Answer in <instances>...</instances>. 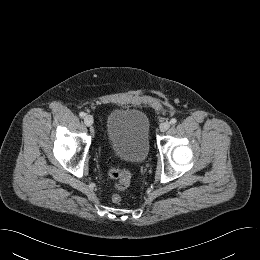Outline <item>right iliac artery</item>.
<instances>
[{"mask_svg":"<svg viewBox=\"0 0 260 260\" xmlns=\"http://www.w3.org/2000/svg\"><path fill=\"white\" fill-rule=\"evenodd\" d=\"M79 116H80V117H84V116H85V113H84V112H80V113H79Z\"/></svg>","mask_w":260,"mask_h":260,"instance_id":"right-iliac-artery-1","label":"right iliac artery"}]
</instances>
